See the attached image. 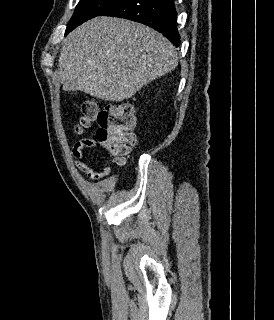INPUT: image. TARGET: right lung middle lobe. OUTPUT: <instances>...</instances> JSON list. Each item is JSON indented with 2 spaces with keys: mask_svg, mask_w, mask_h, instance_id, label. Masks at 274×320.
<instances>
[{
  "mask_svg": "<svg viewBox=\"0 0 274 320\" xmlns=\"http://www.w3.org/2000/svg\"><path fill=\"white\" fill-rule=\"evenodd\" d=\"M119 0H80L69 21L65 35L83 22L99 16L103 11L116 4Z\"/></svg>",
  "mask_w": 274,
  "mask_h": 320,
  "instance_id": "right-lung-middle-lobe-1",
  "label": "right lung middle lobe"
}]
</instances>
